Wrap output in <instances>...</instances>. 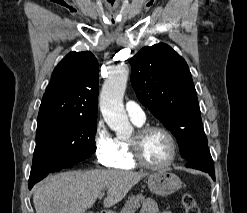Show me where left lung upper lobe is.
Masks as SVG:
<instances>
[{
    "label": "left lung upper lobe",
    "instance_id": "5c2ea615",
    "mask_svg": "<svg viewBox=\"0 0 247 213\" xmlns=\"http://www.w3.org/2000/svg\"><path fill=\"white\" fill-rule=\"evenodd\" d=\"M131 83L140 102L169 129L187 160L207 144L194 83L185 60L164 43L130 59Z\"/></svg>",
    "mask_w": 247,
    "mask_h": 213
}]
</instances>
